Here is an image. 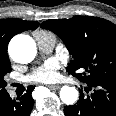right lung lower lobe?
<instances>
[{
  "label": "right lung lower lobe",
  "instance_id": "1",
  "mask_svg": "<svg viewBox=\"0 0 116 116\" xmlns=\"http://www.w3.org/2000/svg\"><path fill=\"white\" fill-rule=\"evenodd\" d=\"M33 89L29 86L27 92L17 100L12 99L8 93L0 98V116H29L33 107Z\"/></svg>",
  "mask_w": 116,
  "mask_h": 116
}]
</instances>
